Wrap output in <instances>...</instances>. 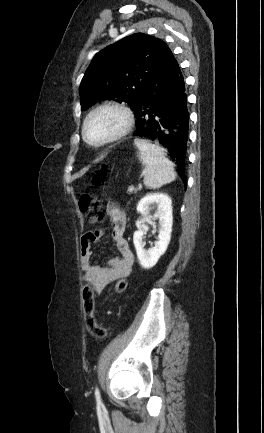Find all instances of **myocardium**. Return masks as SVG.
<instances>
[{"instance_id": "f54148a6", "label": "myocardium", "mask_w": 264, "mask_h": 433, "mask_svg": "<svg viewBox=\"0 0 264 433\" xmlns=\"http://www.w3.org/2000/svg\"><path fill=\"white\" fill-rule=\"evenodd\" d=\"M106 110H113L116 111L118 113L121 114L123 121L122 124L120 126V128L114 132L113 134L99 140V141H91L88 137H87V125L89 123V121L98 113L106 111ZM134 114L132 112V110L130 108H128L127 106H125L124 104L118 103V102H114V101H110V102H105L102 103L98 106H96L95 108H93L85 117L83 123H82V128H81V135L83 140L94 147H101V146H106L109 144H112L120 139H122L123 137H125L132 129L133 125H134Z\"/></svg>"}]
</instances>
